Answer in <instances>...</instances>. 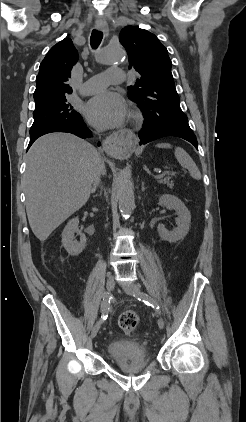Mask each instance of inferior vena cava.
Wrapping results in <instances>:
<instances>
[{"label":"inferior vena cava","mask_w":246,"mask_h":422,"mask_svg":"<svg viewBox=\"0 0 246 422\" xmlns=\"http://www.w3.org/2000/svg\"><path fill=\"white\" fill-rule=\"evenodd\" d=\"M95 157H96V160H97V164H96L94 172H93V188H92L93 192L95 191L97 185L100 182L101 174H104L102 166H101V158H100V155L97 151L95 152Z\"/></svg>","instance_id":"obj_1"}]
</instances>
